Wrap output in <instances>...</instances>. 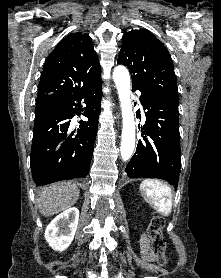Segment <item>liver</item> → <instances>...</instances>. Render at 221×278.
Returning a JSON list of instances; mask_svg holds the SVG:
<instances>
[{
  "mask_svg": "<svg viewBox=\"0 0 221 278\" xmlns=\"http://www.w3.org/2000/svg\"><path fill=\"white\" fill-rule=\"evenodd\" d=\"M79 189L70 182H60L42 189L37 198L43 216H52L72 207L79 199Z\"/></svg>",
  "mask_w": 221,
  "mask_h": 278,
  "instance_id": "liver-1",
  "label": "liver"
}]
</instances>
